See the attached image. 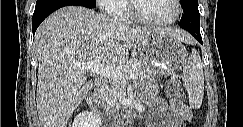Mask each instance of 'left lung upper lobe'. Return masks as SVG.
Wrapping results in <instances>:
<instances>
[{
	"label": "left lung upper lobe",
	"mask_w": 243,
	"mask_h": 127,
	"mask_svg": "<svg viewBox=\"0 0 243 127\" xmlns=\"http://www.w3.org/2000/svg\"><path fill=\"white\" fill-rule=\"evenodd\" d=\"M180 2L183 10L198 7V0H180Z\"/></svg>",
	"instance_id": "1"
}]
</instances>
